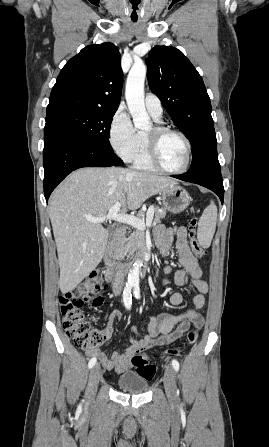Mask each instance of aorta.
Returning a JSON list of instances; mask_svg holds the SVG:
<instances>
[{
	"label": "aorta",
	"instance_id": "aorta-1",
	"mask_svg": "<svg viewBox=\"0 0 269 447\" xmlns=\"http://www.w3.org/2000/svg\"><path fill=\"white\" fill-rule=\"evenodd\" d=\"M147 68L143 60H134L126 82L125 98L132 116L133 124L138 130H150L151 118L148 116L144 104V82ZM141 259H136L128 275V283L139 285Z\"/></svg>",
	"mask_w": 269,
	"mask_h": 447
}]
</instances>
